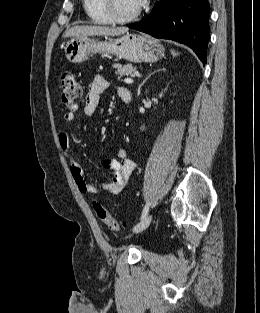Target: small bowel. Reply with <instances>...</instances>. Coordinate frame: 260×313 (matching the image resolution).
I'll list each match as a JSON object with an SVG mask.
<instances>
[{
  "instance_id": "c3829d8e",
  "label": "small bowel",
  "mask_w": 260,
  "mask_h": 313,
  "mask_svg": "<svg viewBox=\"0 0 260 313\" xmlns=\"http://www.w3.org/2000/svg\"><path fill=\"white\" fill-rule=\"evenodd\" d=\"M107 87L108 82L101 75L96 76L91 81L88 87L84 108V113L87 117H92L95 114L100 104V96ZM118 95L123 102L127 103L131 100V94L127 88H120ZM77 110L78 107L73 106L65 112L63 116L64 121L72 122ZM59 144L69 162L73 181L79 192L83 195H99L102 191L111 195L118 194L128 186L130 176L136 169L135 162L129 158L127 152L122 149L119 152L120 159L106 158L102 160V166L110 169L112 174L110 180L104 183L101 188H98L86 181L82 166L74 157L71 146V136L68 132L62 131L59 133Z\"/></svg>"
}]
</instances>
